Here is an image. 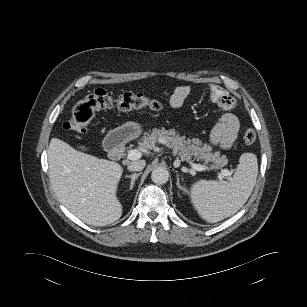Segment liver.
Returning <instances> with one entry per match:
<instances>
[{"label":"liver","mask_w":307,"mask_h":307,"mask_svg":"<svg viewBox=\"0 0 307 307\" xmlns=\"http://www.w3.org/2000/svg\"><path fill=\"white\" fill-rule=\"evenodd\" d=\"M47 155L51 185L71 213L93 226L121 217L116 195L123 173L119 163L82 153L56 138L50 141Z\"/></svg>","instance_id":"1"}]
</instances>
